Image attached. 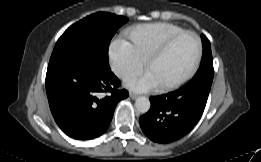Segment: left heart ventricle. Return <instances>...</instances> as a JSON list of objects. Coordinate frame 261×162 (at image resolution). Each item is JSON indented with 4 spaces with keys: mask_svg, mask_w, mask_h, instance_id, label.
Returning <instances> with one entry per match:
<instances>
[{
    "mask_svg": "<svg viewBox=\"0 0 261 162\" xmlns=\"http://www.w3.org/2000/svg\"><path fill=\"white\" fill-rule=\"evenodd\" d=\"M197 52V42L192 35L179 38L161 57L148 67L160 85L172 83L185 75L192 66Z\"/></svg>",
    "mask_w": 261,
    "mask_h": 162,
    "instance_id": "1",
    "label": "left heart ventricle"
}]
</instances>
